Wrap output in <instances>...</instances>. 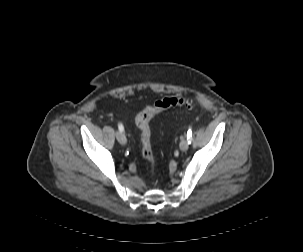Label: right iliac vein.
<instances>
[{
	"label": "right iliac vein",
	"instance_id": "obj_1",
	"mask_svg": "<svg viewBox=\"0 0 303 252\" xmlns=\"http://www.w3.org/2000/svg\"><path fill=\"white\" fill-rule=\"evenodd\" d=\"M116 138H117L118 142L122 145H125L127 143V139H126L125 135L120 131L116 132Z\"/></svg>",
	"mask_w": 303,
	"mask_h": 252
}]
</instances>
